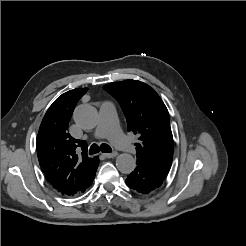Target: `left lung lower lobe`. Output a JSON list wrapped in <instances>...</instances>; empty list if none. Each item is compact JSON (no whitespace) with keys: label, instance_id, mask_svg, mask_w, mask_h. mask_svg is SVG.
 I'll return each instance as SVG.
<instances>
[{"label":"left lung lower lobe","instance_id":"0a47b994","mask_svg":"<svg viewBox=\"0 0 246 246\" xmlns=\"http://www.w3.org/2000/svg\"><path fill=\"white\" fill-rule=\"evenodd\" d=\"M164 179L165 176L149 166L137 163L135 170L128 175L126 184L140 194H148L160 187Z\"/></svg>","mask_w":246,"mask_h":246}]
</instances>
